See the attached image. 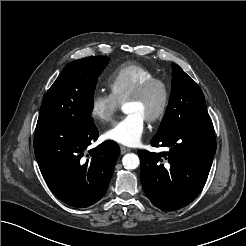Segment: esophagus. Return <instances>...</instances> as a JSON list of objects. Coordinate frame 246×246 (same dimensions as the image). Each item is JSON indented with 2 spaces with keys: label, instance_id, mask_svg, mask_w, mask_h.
<instances>
[{
  "label": "esophagus",
  "instance_id": "1",
  "mask_svg": "<svg viewBox=\"0 0 246 246\" xmlns=\"http://www.w3.org/2000/svg\"><path fill=\"white\" fill-rule=\"evenodd\" d=\"M129 151H131L130 148H127V147H124V146H121V147H120V152H121V154H125V153H127V152H129Z\"/></svg>",
  "mask_w": 246,
  "mask_h": 246
}]
</instances>
